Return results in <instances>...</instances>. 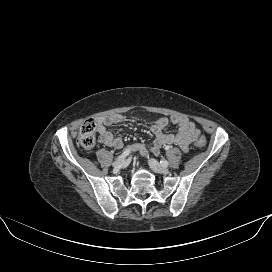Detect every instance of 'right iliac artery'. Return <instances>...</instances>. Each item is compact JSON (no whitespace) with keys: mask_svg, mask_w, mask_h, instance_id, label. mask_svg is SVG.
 Returning a JSON list of instances; mask_svg holds the SVG:
<instances>
[{"mask_svg":"<svg viewBox=\"0 0 272 272\" xmlns=\"http://www.w3.org/2000/svg\"><path fill=\"white\" fill-rule=\"evenodd\" d=\"M131 151H132L131 147L125 148L122 154L118 156V159L124 158L125 156L129 155Z\"/></svg>","mask_w":272,"mask_h":272,"instance_id":"1","label":"right iliac artery"}]
</instances>
